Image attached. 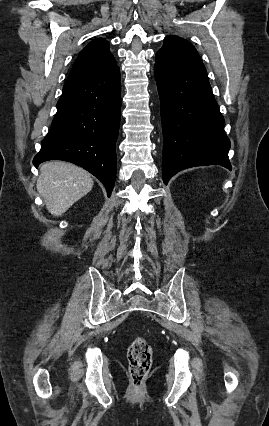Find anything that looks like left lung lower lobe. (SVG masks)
<instances>
[{
  "label": "left lung lower lobe",
  "instance_id": "1",
  "mask_svg": "<svg viewBox=\"0 0 269 426\" xmlns=\"http://www.w3.org/2000/svg\"><path fill=\"white\" fill-rule=\"evenodd\" d=\"M154 72L161 104L164 183L194 166L215 164L231 170L224 118L194 46L178 36L165 37Z\"/></svg>",
  "mask_w": 269,
  "mask_h": 426
}]
</instances>
